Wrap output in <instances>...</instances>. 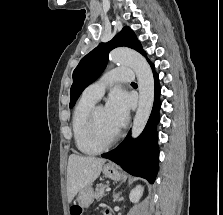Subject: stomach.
Returning <instances> with one entry per match:
<instances>
[{"mask_svg":"<svg viewBox=\"0 0 223 215\" xmlns=\"http://www.w3.org/2000/svg\"><path fill=\"white\" fill-rule=\"evenodd\" d=\"M102 171L105 177L115 179V181H120L122 177L120 171H118L115 163H112V161H110V163H104ZM90 189L91 187H85V189H81V191H79V195L77 197L79 209H84V207H88V205L92 203L93 198L90 194Z\"/></svg>","mask_w":223,"mask_h":215,"instance_id":"0dacf381","label":"stomach"}]
</instances>
